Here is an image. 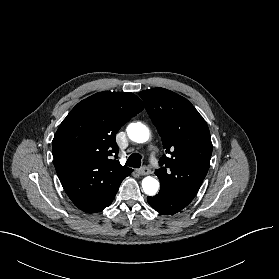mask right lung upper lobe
Masks as SVG:
<instances>
[{"mask_svg":"<svg viewBox=\"0 0 279 279\" xmlns=\"http://www.w3.org/2000/svg\"><path fill=\"white\" fill-rule=\"evenodd\" d=\"M143 109L133 93L101 92L79 102L60 124L52 141L54 165L80 210L102 211L131 174L113 158H118L115 135Z\"/></svg>","mask_w":279,"mask_h":279,"instance_id":"obj_1","label":"right lung upper lobe"}]
</instances>
